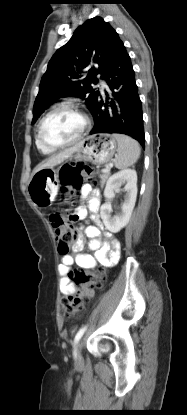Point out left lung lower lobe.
Here are the masks:
<instances>
[{
  "label": "left lung lower lobe",
  "mask_w": 187,
  "mask_h": 415,
  "mask_svg": "<svg viewBox=\"0 0 187 415\" xmlns=\"http://www.w3.org/2000/svg\"><path fill=\"white\" fill-rule=\"evenodd\" d=\"M102 79L108 84L111 101L106 92V104L102 96L94 106L95 125L90 134L121 133L136 139L144 148L142 106L135 81V72L123 42L115 39Z\"/></svg>",
  "instance_id": "left-lung-lower-lobe-1"
}]
</instances>
